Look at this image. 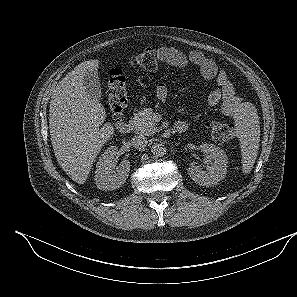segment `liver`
<instances>
[{"label": "liver", "instance_id": "1", "mask_svg": "<svg viewBox=\"0 0 297 297\" xmlns=\"http://www.w3.org/2000/svg\"><path fill=\"white\" fill-rule=\"evenodd\" d=\"M99 60L77 65L55 87L50 100L51 143L60 167L78 184H84L102 146L113 135L104 107L88 97L83 78L99 68Z\"/></svg>", "mask_w": 297, "mask_h": 297}]
</instances>
